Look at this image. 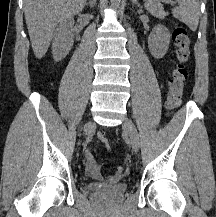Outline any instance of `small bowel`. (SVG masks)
<instances>
[{"label":"small bowel","instance_id":"1","mask_svg":"<svg viewBox=\"0 0 216 217\" xmlns=\"http://www.w3.org/2000/svg\"><path fill=\"white\" fill-rule=\"evenodd\" d=\"M86 164L85 171L86 174L97 181H102L101 173H100V165L96 162L93 154L90 151H87L85 154ZM107 183H115L116 176H110L106 179Z\"/></svg>","mask_w":216,"mask_h":217}]
</instances>
